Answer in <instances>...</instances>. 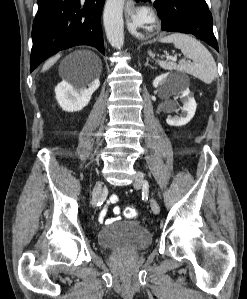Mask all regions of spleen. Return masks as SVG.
I'll return each instance as SVG.
<instances>
[{
  "mask_svg": "<svg viewBox=\"0 0 247 299\" xmlns=\"http://www.w3.org/2000/svg\"><path fill=\"white\" fill-rule=\"evenodd\" d=\"M160 41L163 43H173L185 56V59L180 60L178 64L157 60L156 62L161 68L193 75L207 84L212 83L216 79L217 66L215 60L200 41L190 35L182 33H174L165 36L161 38ZM148 54L152 58L155 57V54L151 51H149ZM186 58L192 59L193 62L186 61Z\"/></svg>",
  "mask_w": 247,
  "mask_h": 299,
  "instance_id": "spleen-1",
  "label": "spleen"
}]
</instances>
